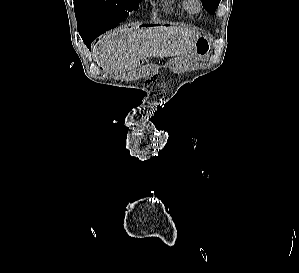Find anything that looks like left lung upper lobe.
Here are the masks:
<instances>
[{
    "label": "left lung upper lobe",
    "mask_w": 299,
    "mask_h": 273,
    "mask_svg": "<svg viewBox=\"0 0 299 273\" xmlns=\"http://www.w3.org/2000/svg\"><path fill=\"white\" fill-rule=\"evenodd\" d=\"M203 7L210 13L214 14L215 9L218 7L220 0H201Z\"/></svg>",
    "instance_id": "5c2ea615"
}]
</instances>
